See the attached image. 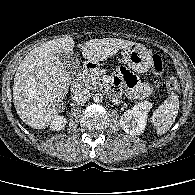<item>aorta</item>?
Here are the masks:
<instances>
[{
  "label": "aorta",
  "mask_w": 195,
  "mask_h": 195,
  "mask_svg": "<svg viewBox=\"0 0 195 195\" xmlns=\"http://www.w3.org/2000/svg\"><path fill=\"white\" fill-rule=\"evenodd\" d=\"M93 100L95 103H101L103 101V95L100 93H97L94 95Z\"/></svg>",
  "instance_id": "762f6f07"
}]
</instances>
